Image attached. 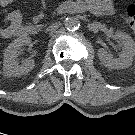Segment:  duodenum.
Listing matches in <instances>:
<instances>
[{"label": "duodenum", "instance_id": "1", "mask_svg": "<svg viewBox=\"0 0 135 135\" xmlns=\"http://www.w3.org/2000/svg\"><path fill=\"white\" fill-rule=\"evenodd\" d=\"M33 29L31 27H27L26 29L24 28V33H32Z\"/></svg>", "mask_w": 135, "mask_h": 135}]
</instances>
